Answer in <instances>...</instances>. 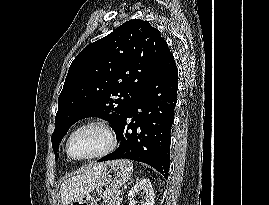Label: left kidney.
<instances>
[{
    "label": "left kidney",
    "instance_id": "obj_1",
    "mask_svg": "<svg viewBox=\"0 0 269 205\" xmlns=\"http://www.w3.org/2000/svg\"><path fill=\"white\" fill-rule=\"evenodd\" d=\"M140 191L144 194V201L141 202V205H154V191L151 182L148 179H143L137 182L131 188L128 194L129 205H135V195Z\"/></svg>",
    "mask_w": 269,
    "mask_h": 205
}]
</instances>
